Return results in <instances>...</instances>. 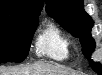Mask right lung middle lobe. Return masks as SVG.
<instances>
[{"instance_id":"right-lung-middle-lobe-1","label":"right lung middle lobe","mask_w":102,"mask_h":75,"mask_svg":"<svg viewBox=\"0 0 102 75\" xmlns=\"http://www.w3.org/2000/svg\"><path fill=\"white\" fill-rule=\"evenodd\" d=\"M38 17L0 12V63H18L27 57Z\"/></svg>"}]
</instances>
